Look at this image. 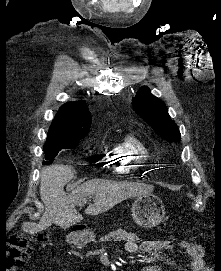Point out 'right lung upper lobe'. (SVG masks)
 <instances>
[{"label":"right lung upper lobe","instance_id":"obj_1","mask_svg":"<svg viewBox=\"0 0 221 271\" xmlns=\"http://www.w3.org/2000/svg\"><path fill=\"white\" fill-rule=\"evenodd\" d=\"M91 126V114L87 104L69 102L64 104L56 114L48 132L49 138L84 137Z\"/></svg>","mask_w":221,"mask_h":271}]
</instances>
